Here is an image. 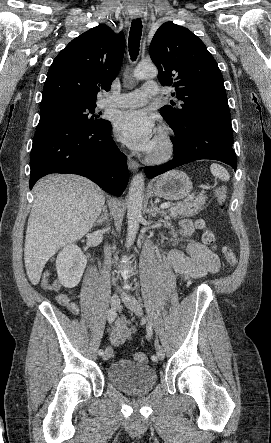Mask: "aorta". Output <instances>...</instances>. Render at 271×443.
I'll list each match as a JSON object with an SVG mask.
<instances>
[{"label": "aorta", "mask_w": 271, "mask_h": 443, "mask_svg": "<svg viewBox=\"0 0 271 443\" xmlns=\"http://www.w3.org/2000/svg\"><path fill=\"white\" fill-rule=\"evenodd\" d=\"M158 70L154 64H139L133 72L134 78L144 80V78H156ZM145 184L142 174L134 176L128 194L127 202V237L126 247L132 245L136 239L139 223L142 220V208L144 200Z\"/></svg>", "instance_id": "obj_1"}]
</instances>
